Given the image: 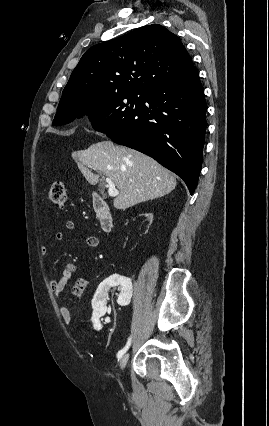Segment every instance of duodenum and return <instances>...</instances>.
<instances>
[{"label":"duodenum","instance_id":"410a0bca","mask_svg":"<svg viewBox=\"0 0 269 426\" xmlns=\"http://www.w3.org/2000/svg\"><path fill=\"white\" fill-rule=\"evenodd\" d=\"M92 207L101 229L107 233L111 232L114 227L113 217L105 198L101 194L93 195Z\"/></svg>","mask_w":269,"mask_h":426}]
</instances>
